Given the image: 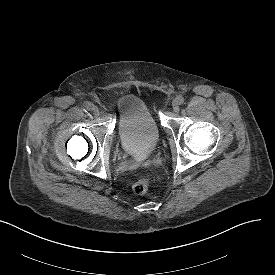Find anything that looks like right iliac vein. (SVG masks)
<instances>
[{
    "label": "right iliac vein",
    "instance_id": "obj_1",
    "mask_svg": "<svg viewBox=\"0 0 275 275\" xmlns=\"http://www.w3.org/2000/svg\"><path fill=\"white\" fill-rule=\"evenodd\" d=\"M92 112H93L94 115H98V114H99V109H98V107H96V106L93 105V107H92Z\"/></svg>",
    "mask_w": 275,
    "mask_h": 275
}]
</instances>
